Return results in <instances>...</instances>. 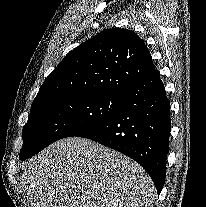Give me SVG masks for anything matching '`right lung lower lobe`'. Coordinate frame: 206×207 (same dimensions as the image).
I'll return each mask as SVG.
<instances>
[{"label": "right lung lower lobe", "mask_w": 206, "mask_h": 207, "mask_svg": "<svg viewBox=\"0 0 206 207\" xmlns=\"http://www.w3.org/2000/svg\"><path fill=\"white\" fill-rule=\"evenodd\" d=\"M171 131L170 102L159 72L129 87L120 109L100 124L78 134L117 150L138 162L160 194L166 176Z\"/></svg>", "instance_id": "right-lung-lower-lobe-1"}]
</instances>
